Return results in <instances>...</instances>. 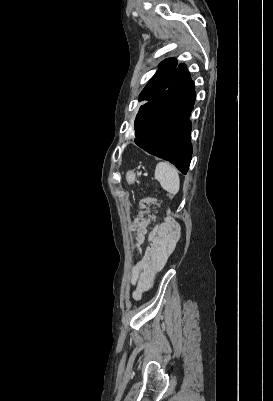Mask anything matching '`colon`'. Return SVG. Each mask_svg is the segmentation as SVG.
<instances>
[{
  "label": "colon",
  "instance_id": "5ec220e1",
  "mask_svg": "<svg viewBox=\"0 0 273 401\" xmlns=\"http://www.w3.org/2000/svg\"><path fill=\"white\" fill-rule=\"evenodd\" d=\"M148 205L156 207L159 202L155 198L147 199ZM178 225L174 220L168 218L154 229V237L161 238L162 241H176Z\"/></svg>",
  "mask_w": 273,
  "mask_h": 401
}]
</instances>
